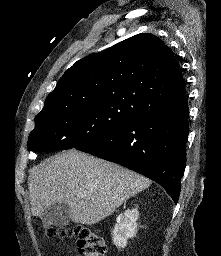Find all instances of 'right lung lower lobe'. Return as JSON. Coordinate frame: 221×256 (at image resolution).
<instances>
[{"label":"right lung lower lobe","instance_id":"obj_1","mask_svg":"<svg viewBox=\"0 0 221 256\" xmlns=\"http://www.w3.org/2000/svg\"><path fill=\"white\" fill-rule=\"evenodd\" d=\"M188 114L187 101L153 110L76 149L154 180L177 203L186 163Z\"/></svg>","mask_w":221,"mask_h":256}]
</instances>
